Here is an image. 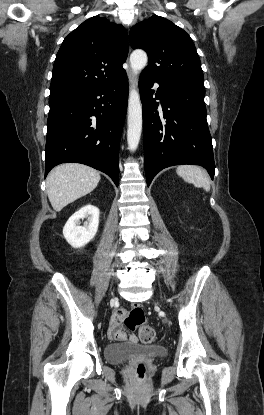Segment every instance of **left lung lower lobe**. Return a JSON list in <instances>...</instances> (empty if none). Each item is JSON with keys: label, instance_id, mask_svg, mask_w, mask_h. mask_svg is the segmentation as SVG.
I'll list each match as a JSON object with an SVG mask.
<instances>
[{"label": "left lung lower lobe", "instance_id": "1", "mask_svg": "<svg viewBox=\"0 0 264 415\" xmlns=\"http://www.w3.org/2000/svg\"><path fill=\"white\" fill-rule=\"evenodd\" d=\"M153 82L159 84L157 93L151 89ZM139 89L147 185L162 169L180 164L200 165L213 178L215 163L206 121L205 89L163 83L145 74L140 76ZM157 99H161V108Z\"/></svg>", "mask_w": 264, "mask_h": 415}]
</instances>
